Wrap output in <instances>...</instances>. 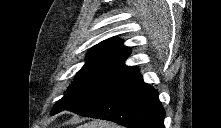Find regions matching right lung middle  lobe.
<instances>
[{"label":"right lung middle lobe","instance_id":"dd1d6c3e","mask_svg":"<svg viewBox=\"0 0 221 128\" xmlns=\"http://www.w3.org/2000/svg\"><path fill=\"white\" fill-rule=\"evenodd\" d=\"M125 79H127L125 76L110 75L94 70H80L64 97L52 109L51 115L63 110H72L79 105L96 100Z\"/></svg>","mask_w":221,"mask_h":128}]
</instances>
